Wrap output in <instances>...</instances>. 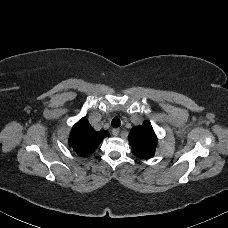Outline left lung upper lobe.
Masks as SVG:
<instances>
[{
	"instance_id": "left-lung-upper-lobe-1",
	"label": "left lung upper lobe",
	"mask_w": 228,
	"mask_h": 228,
	"mask_svg": "<svg viewBox=\"0 0 228 228\" xmlns=\"http://www.w3.org/2000/svg\"><path fill=\"white\" fill-rule=\"evenodd\" d=\"M132 152L141 158L154 156L157 147V136L150 122L132 128L129 134Z\"/></svg>"
}]
</instances>
